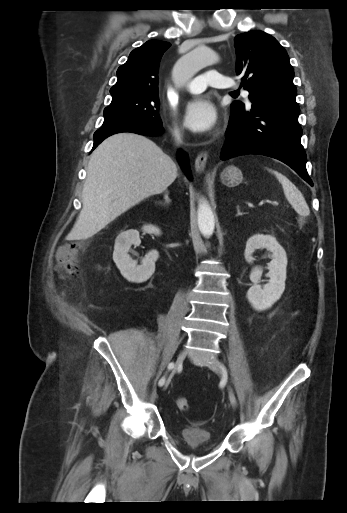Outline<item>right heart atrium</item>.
<instances>
[{"mask_svg":"<svg viewBox=\"0 0 347 513\" xmlns=\"http://www.w3.org/2000/svg\"><path fill=\"white\" fill-rule=\"evenodd\" d=\"M171 110V109H170ZM173 116V115H172ZM174 118V117H173ZM172 132L176 137H180L182 134V128L177 121H173Z\"/></svg>","mask_w":347,"mask_h":513,"instance_id":"right-heart-atrium-1","label":"right heart atrium"}]
</instances>
